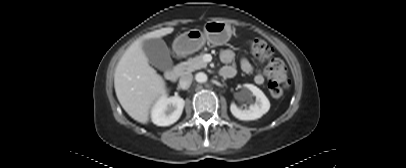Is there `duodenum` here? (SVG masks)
<instances>
[{"instance_id": "obj_1", "label": "duodenum", "mask_w": 406, "mask_h": 168, "mask_svg": "<svg viewBox=\"0 0 406 168\" xmlns=\"http://www.w3.org/2000/svg\"><path fill=\"white\" fill-rule=\"evenodd\" d=\"M179 73H180V70L178 68L174 67V68H170V69L166 70L164 75L168 81L176 82L179 77Z\"/></svg>"}]
</instances>
